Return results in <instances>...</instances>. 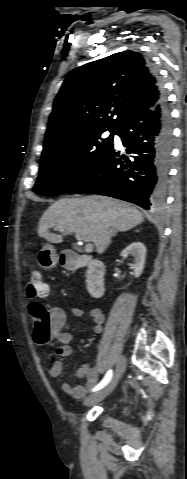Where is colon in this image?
Masks as SVG:
<instances>
[{"label": "colon", "mask_w": 187, "mask_h": 479, "mask_svg": "<svg viewBox=\"0 0 187 479\" xmlns=\"http://www.w3.org/2000/svg\"><path fill=\"white\" fill-rule=\"evenodd\" d=\"M27 295L31 299L45 298L48 295V286L41 271L35 270L31 273L27 282ZM30 309L37 330L44 332L42 336L46 335L51 323L50 313L41 303L37 302L32 303Z\"/></svg>", "instance_id": "1"}]
</instances>
